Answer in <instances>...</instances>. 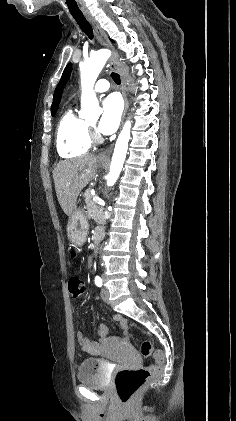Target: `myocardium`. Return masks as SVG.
Here are the masks:
<instances>
[{"instance_id": "myocardium-1", "label": "myocardium", "mask_w": 236, "mask_h": 421, "mask_svg": "<svg viewBox=\"0 0 236 421\" xmlns=\"http://www.w3.org/2000/svg\"><path fill=\"white\" fill-rule=\"evenodd\" d=\"M86 131L91 144H97L102 141V138L96 128L91 126L89 123L86 124Z\"/></svg>"}]
</instances>
